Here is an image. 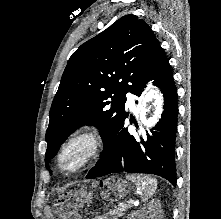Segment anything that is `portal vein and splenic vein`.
Masks as SVG:
<instances>
[{"label": "portal vein and splenic vein", "mask_w": 221, "mask_h": 219, "mask_svg": "<svg viewBox=\"0 0 221 219\" xmlns=\"http://www.w3.org/2000/svg\"><path fill=\"white\" fill-rule=\"evenodd\" d=\"M128 203H129V204H134V201H133V200H130ZM120 206H124V205L121 203Z\"/></svg>", "instance_id": "portal-vein-and-splenic-vein-1"}]
</instances>
